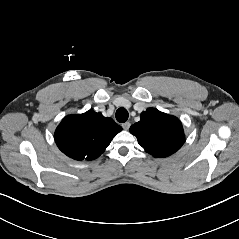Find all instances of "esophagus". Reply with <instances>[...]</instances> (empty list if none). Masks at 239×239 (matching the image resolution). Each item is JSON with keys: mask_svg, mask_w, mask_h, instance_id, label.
<instances>
[{"mask_svg": "<svg viewBox=\"0 0 239 239\" xmlns=\"http://www.w3.org/2000/svg\"><path fill=\"white\" fill-rule=\"evenodd\" d=\"M131 124L130 122H125L122 124L123 129L128 130L130 128Z\"/></svg>", "mask_w": 239, "mask_h": 239, "instance_id": "esophagus-1", "label": "esophagus"}]
</instances>
